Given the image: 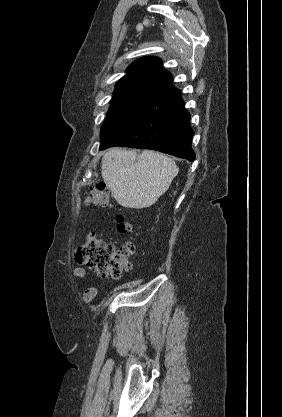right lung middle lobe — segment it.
Instances as JSON below:
<instances>
[{"label":"right lung middle lobe","instance_id":"1","mask_svg":"<svg viewBox=\"0 0 282 417\" xmlns=\"http://www.w3.org/2000/svg\"><path fill=\"white\" fill-rule=\"evenodd\" d=\"M159 96L160 94L145 92L114 93L107 119L101 128V144L136 118Z\"/></svg>","mask_w":282,"mask_h":417}]
</instances>
